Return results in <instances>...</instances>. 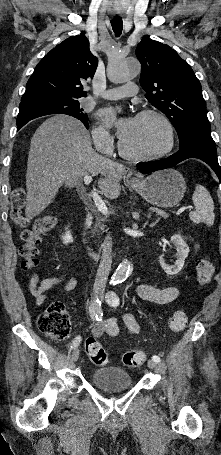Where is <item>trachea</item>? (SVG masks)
<instances>
[{
  "instance_id": "obj_1",
  "label": "trachea",
  "mask_w": 221,
  "mask_h": 455,
  "mask_svg": "<svg viewBox=\"0 0 221 455\" xmlns=\"http://www.w3.org/2000/svg\"><path fill=\"white\" fill-rule=\"evenodd\" d=\"M111 25H112V29L116 35V37H119L122 33V29H123V22H122V19L121 18H114L111 20Z\"/></svg>"
}]
</instances>
